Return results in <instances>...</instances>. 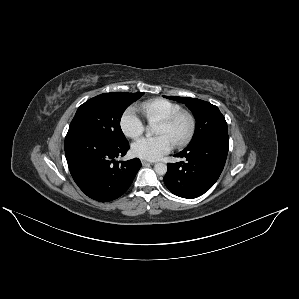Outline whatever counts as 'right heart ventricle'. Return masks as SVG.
<instances>
[{
    "label": "right heart ventricle",
    "mask_w": 299,
    "mask_h": 299,
    "mask_svg": "<svg viewBox=\"0 0 299 299\" xmlns=\"http://www.w3.org/2000/svg\"><path fill=\"white\" fill-rule=\"evenodd\" d=\"M140 107L149 122L161 121L182 110L179 104L163 98L146 101Z\"/></svg>",
    "instance_id": "1"
}]
</instances>
